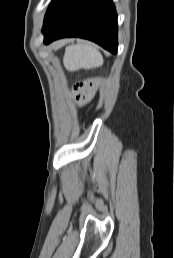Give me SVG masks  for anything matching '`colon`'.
Listing matches in <instances>:
<instances>
[{
	"label": "colon",
	"mask_w": 174,
	"mask_h": 258,
	"mask_svg": "<svg viewBox=\"0 0 174 258\" xmlns=\"http://www.w3.org/2000/svg\"><path fill=\"white\" fill-rule=\"evenodd\" d=\"M82 87H83L82 84H78L77 86H75V90L79 91L81 90Z\"/></svg>",
	"instance_id": "5ec220e1"
}]
</instances>
